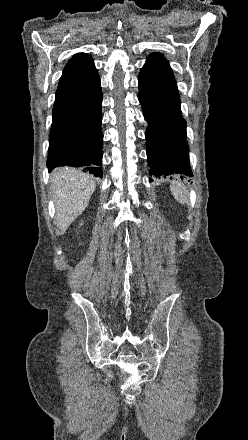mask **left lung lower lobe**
I'll return each instance as SVG.
<instances>
[{
    "label": "left lung lower lobe",
    "instance_id": "obj_1",
    "mask_svg": "<svg viewBox=\"0 0 248 440\" xmlns=\"http://www.w3.org/2000/svg\"><path fill=\"white\" fill-rule=\"evenodd\" d=\"M138 98L148 122L145 136L150 175L192 177L178 91L139 76Z\"/></svg>",
    "mask_w": 248,
    "mask_h": 440
}]
</instances>
